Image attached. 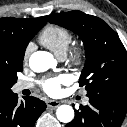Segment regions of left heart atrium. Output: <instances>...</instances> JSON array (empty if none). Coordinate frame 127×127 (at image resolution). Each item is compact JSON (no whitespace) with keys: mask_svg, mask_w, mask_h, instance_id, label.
Segmentation results:
<instances>
[{"mask_svg":"<svg viewBox=\"0 0 127 127\" xmlns=\"http://www.w3.org/2000/svg\"><path fill=\"white\" fill-rule=\"evenodd\" d=\"M70 78L67 75L50 77L42 82V89L51 96H57L61 92V86L69 83Z\"/></svg>","mask_w":127,"mask_h":127,"instance_id":"left-heart-atrium-1","label":"left heart atrium"}]
</instances>
